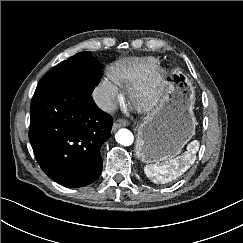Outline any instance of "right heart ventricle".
<instances>
[{
  "mask_svg": "<svg viewBox=\"0 0 243 243\" xmlns=\"http://www.w3.org/2000/svg\"><path fill=\"white\" fill-rule=\"evenodd\" d=\"M157 64L153 57L127 59L112 65L108 75L118 87L130 88L144 80Z\"/></svg>",
  "mask_w": 243,
  "mask_h": 243,
  "instance_id": "e07e8e85",
  "label": "right heart ventricle"
}]
</instances>
